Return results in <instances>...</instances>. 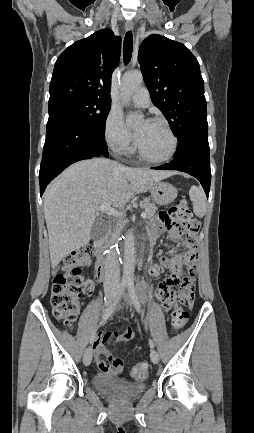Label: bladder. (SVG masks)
I'll return each instance as SVG.
<instances>
[{"instance_id": "31cf9c89", "label": "bladder", "mask_w": 254, "mask_h": 433, "mask_svg": "<svg viewBox=\"0 0 254 433\" xmlns=\"http://www.w3.org/2000/svg\"><path fill=\"white\" fill-rule=\"evenodd\" d=\"M93 384L97 390L106 395L125 399L138 396L145 388L144 383L129 382L123 378H112L106 375H96Z\"/></svg>"}]
</instances>
